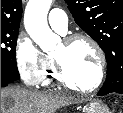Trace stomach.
<instances>
[{"instance_id":"1","label":"stomach","mask_w":123,"mask_h":113,"mask_svg":"<svg viewBox=\"0 0 123 113\" xmlns=\"http://www.w3.org/2000/svg\"><path fill=\"white\" fill-rule=\"evenodd\" d=\"M84 113H109V109L103 102L91 100L84 106Z\"/></svg>"}]
</instances>
